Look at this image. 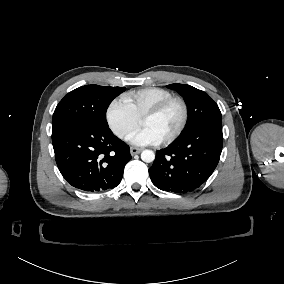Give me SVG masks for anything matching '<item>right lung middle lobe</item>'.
<instances>
[{"label": "right lung middle lobe", "mask_w": 284, "mask_h": 284, "mask_svg": "<svg viewBox=\"0 0 284 284\" xmlns=\"http://www.w3.org/2000/svg\"><path fill=\"white\" fill-rule=\"evenodd\" d=\"M123 91L125 87H105L93 84L69 92L54 111L52 135L75 123L108 127L107 108L111 101Z\"/></svg>", "instance_id": "obj_1"}]
</instances>
